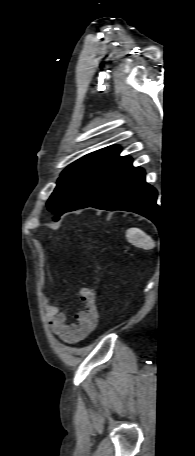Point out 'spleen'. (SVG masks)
Instances as JSON below:
<instances>
[{"instance_id": "spleen-1", "label": "spleen", "mask_w": 195, "mask_h": 456, "mask_svg": "<svg viewBox=\"0 0 195 456\" xmlns=\"http://www.w3.org/2000/svg\"><path fill=\"white\" fill-rule=\"evenodd\" d=\"M126 237L129 240V242L139 246L143 247L145 249H150L154 247V242L149 237L146 233H144L142 230L138 228H130L126 232Z\"/></svg>"}]
</instances>
